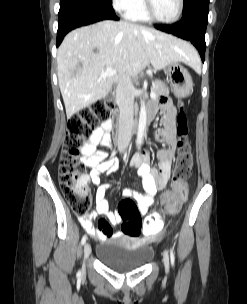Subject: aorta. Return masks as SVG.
<instances>
[{
	"label": "aorta",
	"mask_w": 247,
	"mask_h": 304,
	"mask_svg": "<svg viewBox=\"0 0 247 304\" xmlns=\"http://www.w3.org/2000/svg\"><path fill=\"white\" fill-rule=\"evenodd\" d=\"M146 123H147L146 106H145V102L142 101L140 107L139 124H138L137 138H136L137 147H140L141 144L143 143V139L146 133Z\"/></svg>",
	"instance_id": "aorta-1"
}]
</instances>
